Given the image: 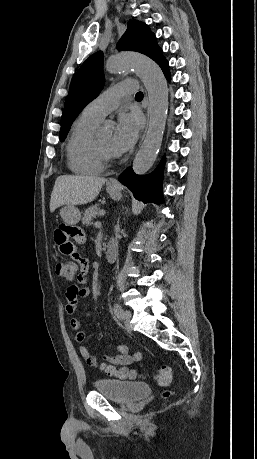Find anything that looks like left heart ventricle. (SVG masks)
<instances>
[{"mask_svg":"<svg viewBox=\"0 0 257 459\" xmlns=\"http://www.w3.org/2000/svg\"><path fill=\"white\" fill-rule=\"evenodd\" d=\"M98 138L106 150L114 153L113 152V132L112 131H104L98 135Z\"/></svg>","mask_w":257,"mask_h":459,"instance_id":"left-heart-ventricle-1","label":"left heart ventricle"}]
</instances>
